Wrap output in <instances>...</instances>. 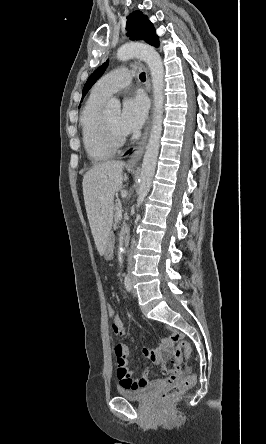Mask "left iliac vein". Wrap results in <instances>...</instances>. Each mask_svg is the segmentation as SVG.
Segmentation results:
<instances>
[{
    "mask_svg": "<svg viewBox=\"0 0 266 444\" xmlns=\"http://www.w3.org/2000/svg\"><path fill=\"white\" fill-rule=\"evenodd\" d=\"M131 285H132V282H131ZM132 294L134 295V296H136V291L133 289L132 290Z\"/></svg>",
    "mask_w": 266,
    "mask_h": 444,
    "instance_id": "1",
    "label": "left iliac vein"
}]
</instances>
